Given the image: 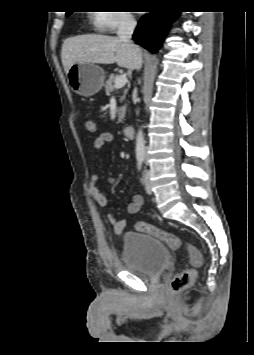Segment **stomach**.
Returning <instances> with one entry per match:
<instances>
[{"label":"stomach","mask_w":254,"mask_h":355,"mask_svg":"<svg viewBox=\"0 0 254 355\" xmlns=\"http://www.w3.org/2000/svg\"><path fill=\"white\" fill-rule=\"evenodd\" d=\"M67 79L73 92L90 97L101 90L105 73L95 63H75L70 67Z\"/></svg>","instance_id":"stomach-1"}]
</instances>
